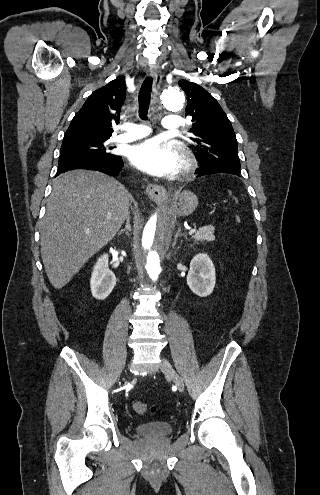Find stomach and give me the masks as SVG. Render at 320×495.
<instances>
[{
	"instance_id": "1",
	"label": "stomach",
	"mask_w": 320,
	"mask_h": 495,
	"mask_svg": "<svg viewBox=\"0 0 320 495\" xmlns=\"http://www.w3.org/2000/svg\"><path fill=\"white\" fill-rule=\"evenodd\" d=\"M198 206V198L191 191H183L178 195L176 204V213L179 216L185 217L193 213Z\"/></svg>"
}]
</instances>
